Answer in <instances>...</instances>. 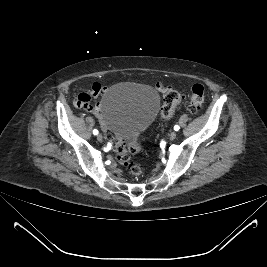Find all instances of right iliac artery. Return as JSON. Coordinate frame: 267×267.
Segmentation results:
<instances>
[{
    "label": "right iliac artery",
    "instance_id": "right-iliac-artery-1",
    "mask_svg": "<svg viewBox=\"0 0 267 267\" xmlns=\"http://www.w3.org/2000/svg\"><path fill=\"white\" fill-rule=\"evenodd\" d=\"M93 134H94V135H97V134H98V130H97V129H94V130H93Z\"/></svg>",
    "mask_w": 267,
    "mask_h": 267
}]
</instances>
